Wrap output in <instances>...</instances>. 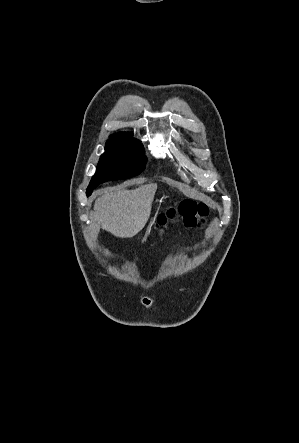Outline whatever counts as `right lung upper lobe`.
Returning <instances> with one entry per match:
<instances>
[{
    "mask_svg": "<svg viewBox=\"0 0 299 443\" xmlns=\"http://www.w3.org/2000/svg\"><path fill=\"white\" fill-rule=\"evenodd\" d=\"M118 137H130L129 133H118L111 136V138H118Z\"/></svg>",
    "mask_w": 299,
    "mask_h": 443,
    "instance_id": "right-lung-upper-lobe-1",
    "label": "right lung upper lobe"
}]
</instances>
